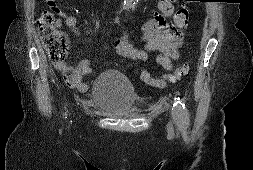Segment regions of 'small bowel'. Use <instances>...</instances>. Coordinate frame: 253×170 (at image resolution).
<instances>
[{
    "mask_svg": "<svg viewBox=\"0 0 253 170\" xmlns=\"http://www.w3.org/2000/svg\"><path fill=\"white\" fill-rule=\"evenodd\" d=\"M176 1L159 0L158 11L141 27L143 30V48H136L125 36H122L114 43L116 52L126 59L141 61H146L149 58V53H156V63L166 71H171L174 63L179 59L178 48L182 45V29L185 27L177 24L176 16L174 18V26H171L167 20L168 17L173 15ZM47 4L58 15L55 23L57 28L61 27L64 20L76 36L81 35L80 30L77 28V18L75 16L67 14L55 0H48ZM54 67L63 74L64 80L69 87L75 88L79 92L88 90V84L85 79L92 74L88 59L80 60L75 68L70 67L65 62H57ZM140 78L144 83L151 86L163 87L165 85L161 79L151 76L146 68L141 69ZM150 81H153L155 85L151 84Z\"/></svg>",
    "mask_w": 253,
    "mask_h": 170,
    "instance_id": "small-bowel-1",
    "label": "small bowel"
}]
</instances>
